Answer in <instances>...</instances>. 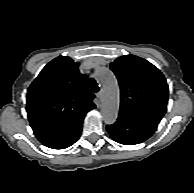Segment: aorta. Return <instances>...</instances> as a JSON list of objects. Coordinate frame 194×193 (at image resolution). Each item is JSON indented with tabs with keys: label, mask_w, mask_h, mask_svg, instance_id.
Wrapping results in <instances>:
<instances>
[{
	"label": "aorta",
	"mask_w": 194,
	"mask_h": 193,
	"mask_svg": "<svg viewBox=\"0 0 194 193\" xmlns=\"http://www.w3.org/2000/svg\"><path fill=\"white\" fill-rule=\"evenodd\" d=\"M96 77L102 85L104 97L101 104V116L105 123L116 121L119 110V87L114 74L106 68L96 71Z\"/></svg>",
	"instance_id": "obj_1"
}]
</instances>
